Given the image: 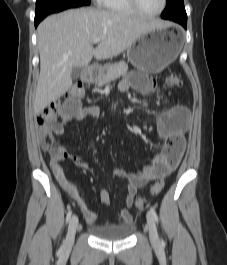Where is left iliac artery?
I'll return each mask as SVG.
<instances>
[{"label":"left iliac artery","mask_w":227,"mask_h":265,"mask_svg":"<svg viewBox=\"0 0 227 265\" xmlns=\"http://www.w3.org/2000/svg\"><path fill=\"white\" fill-rule=\"evenodd\" d=\"M150 213L153 216V218L156 221V223H158V216H157V214H156V212H155L153 207L150 208ZM162 243H163V240H162Z\"/></svg>","instance_id":"44dca946"}]
</instances>
